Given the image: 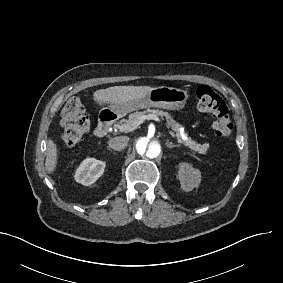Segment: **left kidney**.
<instances>
[{
	"label": "left kidney",
	"instance_id": "obj_1",
	"mask_svg": "<svg viewBox=\"0 0 283 283\" xmlns=\"http://www.w3.org/2000/svg\"><path fill=\"white\" fill-rule=\"evenodd\" d=\"M178 178L180 180L181 188L186 191H192L199 187L201 182V172L192 167L191 164L182 162L179 164Z\"/></svg>",
	"mask_w": 283,
	"mask_h": 283
}]
</instances>
